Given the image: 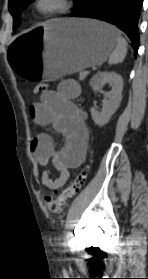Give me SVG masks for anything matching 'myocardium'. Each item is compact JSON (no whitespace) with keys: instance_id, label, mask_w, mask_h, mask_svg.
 Returning a JSON list of instances; mask_svg holds the SVG:
<instances>
[{"instance_id":"myocardium-1","label":"myocardium","mask_w":148,"mask_h":279,"mask_svg":"<svg viewBox=\"0 0 148 279\" xmlns=\"http://www.w3.org/2000/svg\"><path fill=\"white\" fill-rule=\"evenodd\" d=\"M71 6V0H34L33 2L36 13L45 17L60 15L69 10Z\"/></svg>"}]
</instances>
